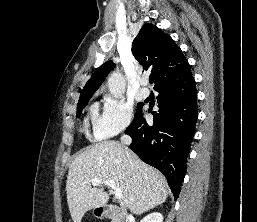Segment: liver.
I'll use <instances>...</instances> for the list:
<instances>
[{
	"label": "liver",
	"instance_id": "obj_1",
	"mask_svg": "<svg viewBox=\"0 0 257 222\" xmlns=\"http://www.w3.org/2000/svg\"><path fill=\"white\" fill-rule=\"evenodd\" d=\"M113 180L122 191L120 205L140 215L165 202L168 185L164 176L115 141L96 143L80 153L70 164L67 203L73 222H81L90 209L105 206L109 195L104 183L91 187V180Z\"/></svg>",
	"mask_w": 257,
	"mask_h": 222
}]
</instances>
